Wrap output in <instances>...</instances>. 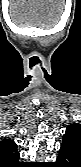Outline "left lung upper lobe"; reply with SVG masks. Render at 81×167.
Wrapping results in <instances>:
<instances>
[{"mask_svg":"<svg viewBox=\"0 0 81 167\" xmlns=\"http://www.w3.org/2000/svg\"><path fill=\"white\" fill-rule=\"evenodd\" d=\"M62 147L67 148L77 159H81V124H70L63 137Z\"/></svg>","mask_w":81,"mask_h":167,"instance_id":"1","label":"left lung upper lobe"}]
</instances>
